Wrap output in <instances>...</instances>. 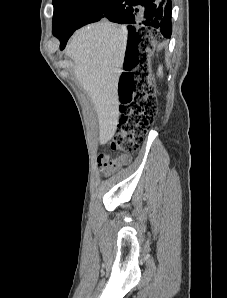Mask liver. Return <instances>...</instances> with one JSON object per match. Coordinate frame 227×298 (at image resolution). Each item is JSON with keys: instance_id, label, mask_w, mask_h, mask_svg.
<instances>
[{"instance_id": "liver-1", "label": "liver", "mask_w": 227, "mask_h": 298, "mask_svg": "<svg viewBox=\"0 0 227 298\" xmlns=\"http://www.w3.org/2000/svg\"><path fill=\"white\" fill-rule=\"evenodd\" d=\"M127 38L125 26L103 21L79 29L66 48L75 77L95 106L100 144L111 140L117 128L118 81Z\"/></svg>"}]
</instances>
